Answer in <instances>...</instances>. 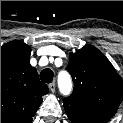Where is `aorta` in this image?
Here are the masks:
<instances>
[{"mask_svg": "<svg viewBox=\"0 0 123 123\" xmlns=\"http://www.w3.org/2000/svg\"><path fill=\"white\" fill-rule=\"evenodd\" d=\"M70 87L71 81L67 76L60 78V88L62 91L66 93L67 91L70 90Z\"/></svg>", "mask_w": 123, "mask_h": 123, "instance_id": "aorta-1", "label": "aorta"}]
</instances>
